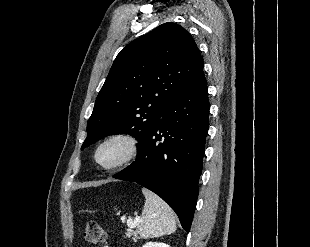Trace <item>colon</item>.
I'll list each match as a JSON object with an SVG mask.
<instances>
[{
    "mask_svg": "<svg viewBox=\"0 0 310 247\" xmlns=\"http://www.w3.org/2000/svg\"><path fill=\"white\" fill-rule=\"evenodd\" d=\"M85 239L92 244H99L105 240V232L101 225L95 221H89L85 228Z\"/></svg>",
    "mask_w": 310,
    "mask_h": 247,
    "instance_id": "5ec220e1",
    "label": "colon"
}]
</instances>
